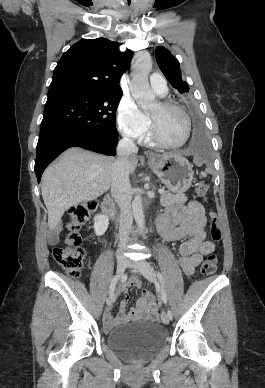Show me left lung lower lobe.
I'll return each mask as SVG.
<instances>
[{
  "mask_svg": "<svg viewBox=\"0 0 265 388\" xmlns=\"http://www.w3.org/2000/svg\"><path fill=\"white\" fill-rule=\"evenodd\" d=\"M208 140L199 117L195 116L194 130L189 144V150L200 157H207L209 152Z\"/></svg>",
  "mask_w": 265,
  "mask_h": 388,
  "instance_id": "1",
  "label": "left lung lower lobe"
}]
</instances>
